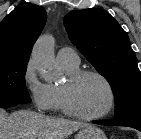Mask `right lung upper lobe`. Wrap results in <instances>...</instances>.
Instances as JSON below:
<instances>
[{"label":"right lung upper lobe","mask_w":141,"mask_h":139,"mask_svg":"<svg viewBox=\"0 0 141 139\" xmlns=\"http://www.w3.org/2000/svg\"><path fill=\"white\" fill-rule=\"evenodd\" d=\"M45 9L19 4L0 23V63H28L31 49L46 23Z\"/></svg>","instance_id":"obj_1"}]
</instances>
